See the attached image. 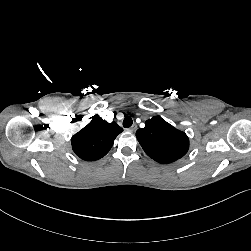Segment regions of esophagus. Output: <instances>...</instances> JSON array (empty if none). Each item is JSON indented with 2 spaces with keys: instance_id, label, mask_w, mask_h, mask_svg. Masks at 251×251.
<instances>
[{
  "instance_id": "1",
  "label": "esophagus",
  "mask_w": 251,
  "mask_h": 251,
  "mask_svg": "<svg viewBox=\"0 0 251 251\" xmlns=\"http://www.w3.org/2000/svg\"><path fill=\"white\" fill-rule=\"evenodd\" d=\"M137 129V125L133 124L130 128H128L127 130L130 132H134Z\"/></svg>"
}]
</instances>
